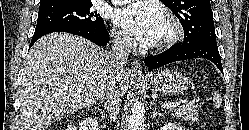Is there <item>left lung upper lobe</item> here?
<instances>
[{
  "instance_id": "5c2ea615",
  "label": "left lung upper lobe",
  "mask_w": 249,
  "mask_h": 130,
  "mask_svg": "<svg viewBox=\"0 0 249 130\" xmlns=\"http://www.w3.org/2000/svg\"><path fill=\"white\" fill-rule=\"evenodd\" d=\"M180 20L183 43L207 41L216 43L210 0H161Z\"/></svg>"
}]
</instances>
